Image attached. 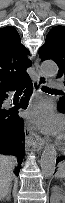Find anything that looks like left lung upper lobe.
I'll return each mask as SVG.
<instances>
[{"label":"left lung upper lobe","instance_id":"obj_1","mask_svg":"<svg viewBox=\"0 0 65 203\" xmlns=\"http://www.w3.org/2000/svg\"><path fill=\"white\" fill-rule=\"evenodd\" d=\"M42 61L53 59L59 66L57 77L65 79V27L56 26L46 36L45 44L39 49ZM65 85V81H64ZM58 108L65 112V97L59 100Z\"/></svg>","mask_w":65,"mask_h":203}]
</instances>
